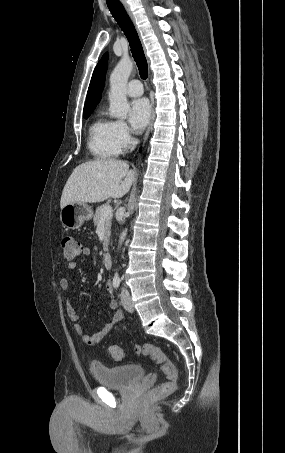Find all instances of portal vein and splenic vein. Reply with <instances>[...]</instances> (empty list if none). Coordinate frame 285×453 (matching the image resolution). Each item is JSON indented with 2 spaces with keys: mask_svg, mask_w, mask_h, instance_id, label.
<instances>
[{
  "mask_svg": "<svg viewBox=\"0 0 285 453\" xmlns=\"http://www.w3.org/2000/svg\"><path fill=\"white\" fill-rule=\"evenodd\" d=\"M112 214V207L111 206H106L102 210V217H107Z\"/></svg>",
  "mask_w": 285,
  "mask_h": 453,
  "instance_id": "18ae733b",
  "label": "portal vein and splenic vein"
}]
</instances>
